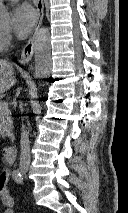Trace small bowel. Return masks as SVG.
<instances>
[{"instance_id": "1", "label": "small bowel", "mask_w": 128, "mask_h": 213, "mask_svg": "<svg viewBox=\"0 0 128 213\" xmlns=\"http://www.w3.org/2000/svg\"><path fill=\"white\" fill-rule=\"evenodd\" d=\"M10 179V169L5 168L4 170H2V172H0V200L5 207L4 213H15V201L8 189V183Z\"/></svg>"}]
</instances>
